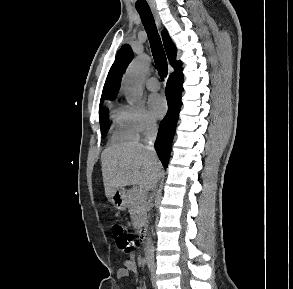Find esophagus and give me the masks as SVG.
Listing matches in <instances>:
<instances>
[{"mask_svg":"<svg viewBox=\"0 0 293 289\" xmlns=\"http://www.w3.org/2000/svg\"><path fill=\"white\" fill-rule=\"evenodd\" d=\"M151 10H152V13H153V16H154L156 24L158 26H160L161 22H160V17H159L157 9L155 7H152Z\"/></svg>","mask_w":293,"mask_h":289,"instance_id":"esophagus-1","label":"esophagus"}]
</instances>
